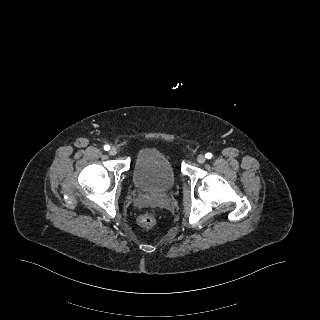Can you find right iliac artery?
Instances as JSON below:
<instances>
[{
    "label": "right iliac artery",
    "instance_id": "1",
    "mask_svg": "<svg viewBox=\"0 0 320 320\" xmlns=\"http://www.w3.org/2000/svg\"><path fill=\"white\" fill-rule=\"evenodd\" d=\"M110 149V146L109 145H105L104 146V150L108 151Z\"/></svg>",
    "mask_w": 320,
    "mask_h": 320
}]
</instances>
